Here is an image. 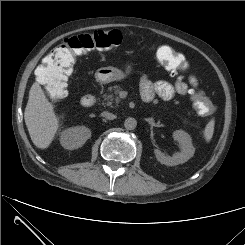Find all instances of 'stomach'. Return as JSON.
Returning a JSON list of instances; mask_svg holds the SVG:
<instances>
[{
    "mask_svg": "<svg viewBox=\"0 0 245 245\" xmlns=\"http://www.w3.org/2000/svg\"><path fill=\"white\" fill-rule=\"evenodd\" d=\"M131 70L130 65L126 67L125 72L113 66L101 67L96 71L95 78L99 83L107 84L124 79Z\"/></svg>",
    "mask_w": 245,
    "mask_h": 245,
    "instance_id": "stomach-1",
    "label": "stomach"
}]
</instances>
